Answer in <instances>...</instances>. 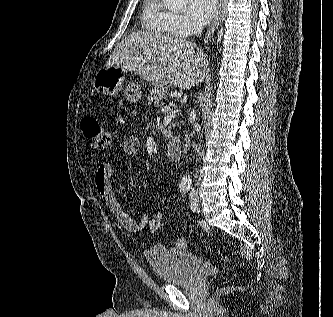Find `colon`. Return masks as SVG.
<instances>
[{"mask_svg": "<svg viewBox=\"0 0 333 317\" xmlns=\"http://www.w3.org/2000/svg\"><path fill=\"white\" fill-rule=\"evenodd\" d=\"M81 129L86 137L89 146L95 151L106 149L110 144L109 133L102 127L99 120L94 116H87L81 122ZM163 219V211L159 210L150 217L148 227L154 233L160 226ZM175 246L178 249H186L190 246L189 242L183 238H178L175 241ZM209 249V246H206Z\"/></svg>", "mask_w": 333, "mask_h": 317, "instance_id": "1", "label": "colon"}]
</instances>
